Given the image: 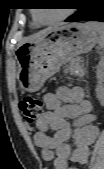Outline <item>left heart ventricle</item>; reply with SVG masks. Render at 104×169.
I'll return each instance as SVG.
<instances>
[{"instance_id":"left-heart-ventricle-1","label":"left heart ventricle","mask_w":104,"mask_h":169,"mask_svg":"<svg viewBox=\"0 0 104 169\" xmlns=\"http://www.w3.org/2000/svg\"><path fill=\"white\" fill-rule=\"evenodd\" d=\"M60 9H43V10H38L36 12V15L39 20L41 21H51L56 19L61 15Z\"/></svg>"}]
</instances>
